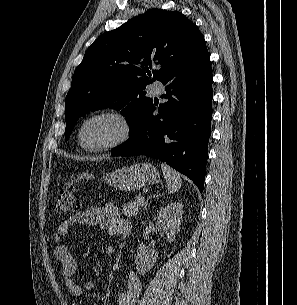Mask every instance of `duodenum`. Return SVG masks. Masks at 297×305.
<instances>
[{
	"instance_id": "obj_1",
	"label": "duodenum",
	"mask_w": 297,
	"mask_h": 305,
	"mask_svg": "<svg viewBox=\"0 0 297 305\" xmlns=\"http://www.w3.org/2000/svg\"><path fill=\"white\" fill-rule=\"evenodd\" d=\"M130 232H131V229L126 230V231H125V235L130 234Z\"/></svg>"
}]
</instances>
